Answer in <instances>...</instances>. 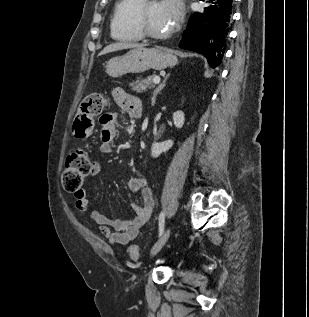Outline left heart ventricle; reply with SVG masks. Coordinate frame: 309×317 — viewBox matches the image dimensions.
Returning a JSON list of instances; mask_svg holds the SVG:
<instances>
[{"instance_id": "obj_1", "label": "left heart ventricle", "mask_w": 309, "mask_h": 317, "mask_svg": "<svg viewBox=\"0 0 309 317\" xmlns=\"http://www.w3.org/2000/svg\"><path fill=\"white\" fill-rule=\"evenodd\" d=\"M146 22L151 31L159 34L166 33L173 28L172 21L161 2H151L148 5Z\"/></svg>"}]
</instances>
